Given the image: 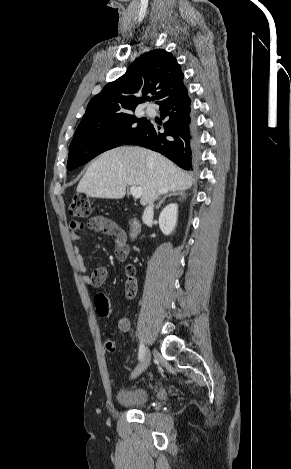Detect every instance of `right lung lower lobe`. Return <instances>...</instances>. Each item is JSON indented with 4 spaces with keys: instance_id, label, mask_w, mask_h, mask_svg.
Returning a JSON list of instances; mask_svg holds the SVG:
<instances>
[{
    "instance_id": "right-lung-lower-lobe-1",
    "label": "right lung lower lobe",
    "mask_w": 291,
    "mask_h": 469,
    "mask_svg": "<svg viewBox=\"0 0 291 469\" xmlns=\"http://www.w3.org/2000/svg\"><path fill=\"white\" fill-rule=\"evenodd\" d=\"M191 100L184 86L162 100L161 117L167 121L162 127L147 121L124 144H135L160 152L178 166L192 170L196 157L194 125L191 118ZM164 129V131H160Z\"/></svg>"
}]
</instances>
